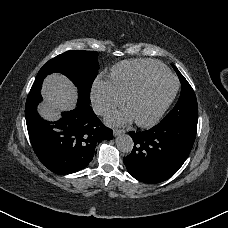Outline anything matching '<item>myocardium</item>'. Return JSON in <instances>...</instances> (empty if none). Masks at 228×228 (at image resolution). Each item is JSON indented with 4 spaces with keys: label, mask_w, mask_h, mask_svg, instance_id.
<instances>
[{
    "label": "myocardium",
    "mask_w": 228,
    "mask_h": 228,
    "mask_svg": "<svg viewBox=\"0 0 228 228\" xmlns=\"http://www.w3.org/2000/svg\"><path fill=\"white\" fill-rule=\"evenodd\" d=\"M159 79H170L173 81L174 83V87L171 91V93L169 94V96L167 97V99L163 102V104L160 106V108L158 109V111L154 114V116L148 120V121H140V120H136L137 124L141 127H145V128H149L152 127L154 125H156L158 123V121L160 120V118L163 116V114L165 113V111L167 110V108L169 107V105L171 104L176 91L178 89V81L177 79L170 75V74H160V75H155L152 77H149L147 79H145L142 83H140L127 97H126V106L129 107L131 101L136 98L137 96H139L141 93H143L145 91V89L151 85L153 82L159 80Z\"/></svg>",
    "instance_id": "f54148a6"
}]
</instances>
